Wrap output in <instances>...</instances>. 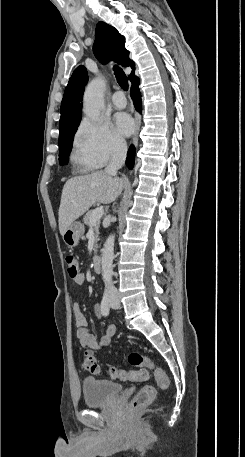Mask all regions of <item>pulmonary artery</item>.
<instances>
[{
	"label": "pulmonary artery",
	"instance_id": "e3ab8cb5",
	"mask_svg": "<svg viewBox=\"0 0 245 457\" xmlns=\"http://www.w3.org/2000/svg\"><path fill=\"white\" fill-rule=\"evenodd\" d=\"M112 103L117 109H122L126 106V98L122 92H116L112 95Z\"/></svg>",
	"mask_w": 245,
	"mask_h": 457
}]
</instances>
